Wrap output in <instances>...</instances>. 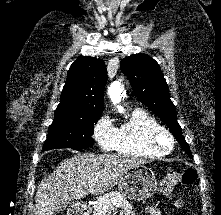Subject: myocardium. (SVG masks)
Instances as JSON below:
<instances>
[{
	"mask_svg": "<svg viewBox=\"0 0 221 215\" xmlns=\"http://www.w3.org/2000/svg\"><path fill=\"white\" fill-rule=\"evenodd\" d=\"M163 139L166 142H163ZM146 141L152 150L164 155L170 153L175 146L173 135L163 126L151 129L147 134Z\"/></svg>",
	"mask_w": 221,
	"mask_h": 215,
	"instance_id": "f54148a6",
	"label": "myocardium"
}]
</instances>
